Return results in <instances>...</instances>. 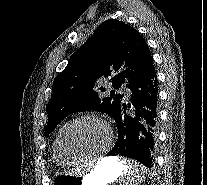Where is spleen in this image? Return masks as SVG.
I'll use <instances>...</instances> for the list:
<instances>
[{
  "instance_id": "spleen-1",
  "label": "spleen",
  "mask_w": 207,
  "mask_h": 185,
  "mask_svg": "<svg viewBox=\"0 0 207 185\" xmlns=\"http://www.w3.org/2000/svg\"><path fill=\"white\" fill-rule=\"evenodd\" d=\"M119 163H124V171H128L127 174H121V183L135 185V183H142V179H151L147 166L134 162V158H119Z\"/></svg>"
}]
</instances>
